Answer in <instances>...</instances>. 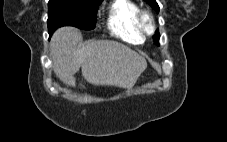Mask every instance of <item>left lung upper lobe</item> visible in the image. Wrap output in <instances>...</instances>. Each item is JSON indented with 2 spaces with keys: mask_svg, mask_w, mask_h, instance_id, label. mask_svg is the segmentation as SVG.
Returning <instances> with one entry per match:
<instances>
[{
  "mask_svg": "<svg viewBox=\"0 0 227 142\" xmlns=\"http://www.w3.org/2000/svg\"><path fill=\"white\" fill-rule=\"evenodd\" d=\"M157 13L159 12V6H158V4L156 3V1L155 0H145ZM159 37H160V35H159V32L157 31V33H156V35L154 36V42L156 43V44H158L159 43Z\"/></svg>",
  "mask_w": 227,
  "mask_h": 142,
  "instance_id": "obj_1",
  "label": "left lung upper lobe"
}]
</instances>
